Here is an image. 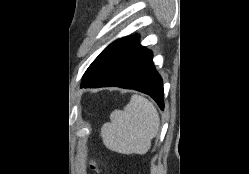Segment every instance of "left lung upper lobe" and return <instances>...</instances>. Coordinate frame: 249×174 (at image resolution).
<instances>
[{
    "instance_id": "obj_1",
    "label": "left lung upper lobe",
    "mask_w": 249,
    "mask_h": 174,
    "mask_svg": "<svg viewBox=\"0 0 249 174\" xmlns=\"http://www.w3.org/2000/svg\"><path fill=\"white\" fill-rule=\"evenodd\" d=\"M133 36L123 37L110 44L89 66V68L87 69V71L83 76V79L90 78L93 75H95L99 70H101L113 57L116 51Z\"/></svg>"
}]
</instances>
